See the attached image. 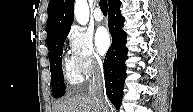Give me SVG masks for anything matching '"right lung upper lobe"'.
<instances>
[{"mask_svg":"<svg viewBox=\"0 0 193 112\" xmlns=\"http://www.w3.org/2000/svg\"><path fill=\"white\" fill-rule=\"evenodd\" d=\"M117 0H108L109 6ZM74 20V0H51L48 5L47 46L61 33L70 30Z\"/></svg>","mask_w":193,"mask_h":112,"instance_id":"cb5924a9","label":"right lung upper lobe"}]
</instances>
